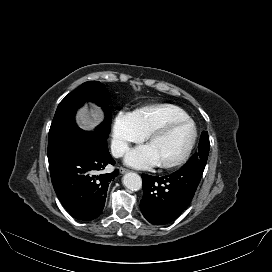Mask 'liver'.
<instances>
[{
	"label": "liver",
	"instance_id": "liver-1",
	"mask_svg": "<svg viewBox=\"0 0 272 272\" xmlns=\"http://www.w3.org/2000/svg\"><path fill=\"white\" fill-rule=\"evenodd\" d=\"M76 119L81 129L92 130L100 122V113L97 108H82L78 111Z\"/></svg>",
	"mask_w": 272,
	"mask_h": 272
}]
</instances>
